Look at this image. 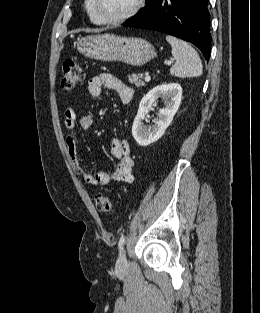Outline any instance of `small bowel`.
Instances as JSON below:
<instances>
[{"label":"small bowel","mask_w":260,"mask_h":313,"mask_svg":"<svg viewBox=\"0 0 260 313\" xmlns=\"http://www.w3.org/2000/svg\"><path fill=\"white\" fill-rule=\"evenodd\" d=\"M104 88L114 90L123 104L130 103L133 98V89L111 74L104 73L93 76L89 79L87 92L91 97H99ZM63 123L65 129L68 131L66 147L69 157L76 173L84 180V182L91 186L109 185L113 182H134V161L131 157L128 142L118 138L112 141L111 150L113 155L118 159V163L112 172H91L83 166L79 159L75 129L77 123L82 129H90L93 125V116L86 113L78 117L75 109L69 107L64 112Z\"/></svg>","instance_id":"c3829d8e"}]
</instances>
